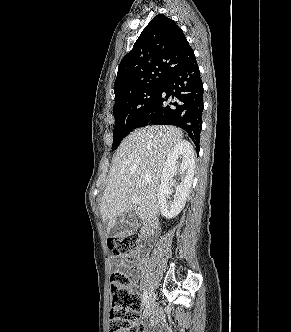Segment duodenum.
Masks as SVG:
<instances>
[{
	"label": "duodenum",
	"mask_w": 291,
	"mask_h": 332,
	"mask_svg": "<svg viewBox=\"0 0 291 332\" xmlns=\"http://www.w3.org/2000/svg\"><path fill=\"white\" fill-rule=\"evenodd\" d=\"M157 226V221L149 220L142 226L141 232L144 237L151 235Z\"/></svg>",
	"instance_id": "1"
}]
</instances>
